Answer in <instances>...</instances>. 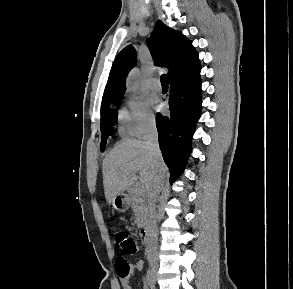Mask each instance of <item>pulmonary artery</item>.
I'll list each match as a JSON object with an SVG mask.
<instances>
[{"mask_svg":"<svg viewBox=\"0 0 293 289\" xmlns=\"http://www.w3.org/2000/svg\"><path fill=\"white\" fill-rule=\"evenodd\" d=\"M150 87L153 91L160 92L162 90V85L159 79H153L151 81Z\"/></svg>","mask_w":293,"mask_h":289,"instance_id":"pulmonary-artery-1","label":"pulmonary artery"}]
</instances>
